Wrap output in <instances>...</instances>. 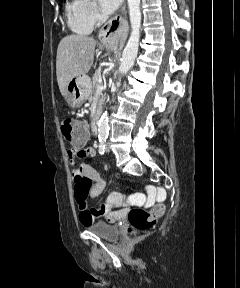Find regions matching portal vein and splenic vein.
I'll return each mask as SVG.
<instances>
[{
    "instance_id": "portal-vein-and-splenic-vein-1",
    "label": "portal vein and splenic vein",
    "mask_w": 240,
    "mask_h": 288,
    "mask_svg": "<svg viewBox=\"0 0 240 288\" xmlns=\"http://www.w3.org/2000/svg\"><path fill=\"white\" fill-rule=\"evenodd\" d=\"M103 88H104V87H103V84H102V80L100 79V80H99V85H98V90L101 91V90H103Z\"/></svg>"
}]
</instances>
